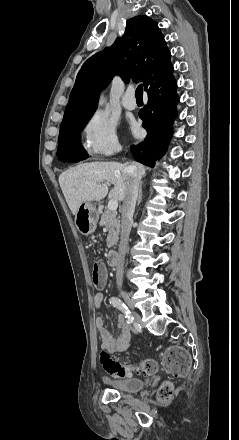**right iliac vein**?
Returning <instances> with one entry per match:
<instances>
[{
    "instance_id": "right-iliac-vein-1",
    "label": "right iliac vein",
    "mask_w": 239,
    "mask_h": 440,
    "mask_svg": "<svg viewBox=\"0 0 239 440\" xmlns=\"http://www.w3.org/2000/svg\"><path fill=\"white\" fill-rule=\"evenodd\" d=\"M125 301H126L127 303H129V299H128V298H125ZM132 316L134 317V319H135L136 321H138V322L140 321V316H139L136 312L133 311Z\"/></svg>"
}]
</instances>
